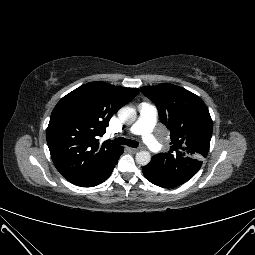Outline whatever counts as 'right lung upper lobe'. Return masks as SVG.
<instances>
[{
	"instance_id": "obj_1",
	"label": "right lung upper lobe",
	"mask_w": 255,
	"mask_h": 255,
	"mask_svg": "<svg viewBox=\"0 0 255 255\" xmlns=\"http://www.w3.org/2000/svg\"><path fill=\"white\" fill-rule=\"evenodd\" d=\"M137 88L90 82L64 96L55 106L47 128V143L57 170L71 183L89 181L108 168L121 146L96 139L111 116L130 102Z\"/></svg>"
}]
</instances>
